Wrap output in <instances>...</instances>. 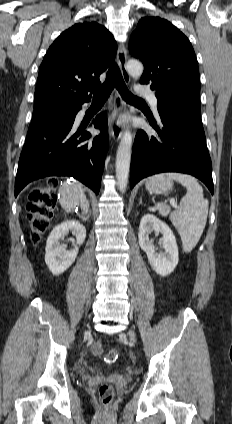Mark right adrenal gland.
Returning <instances> with one entry per match:
<instances>
[{
  "label": "right adrenal gland",
  "instance_id": "obj_1",
  "mask_svg": "<svg viewBox=\"0 0 232 424\" xmlns=\"http://www.w3.org/2000/svg\"><path fill=\"white\" fill-rule=\"evenodd\" d=\"M77 216L83 221L86 222L89 220L90 215H91V211H89L86 215L84 213L80 214L78 212H76Z\"/></svg>",
  "mask_w": 232,
  "mask_h": 424
}]
</instances>
